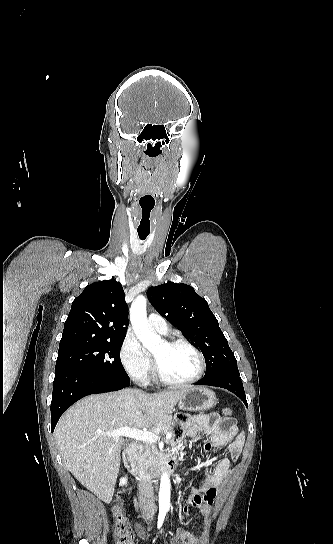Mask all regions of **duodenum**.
Here are the masks:
<instances>
[{
  "instance_id": "410a0bca",
  "label": "duodenum",
  "mask_w": 333,
  "mask_h": 544,
  "mask_svg": "<svg viewBox=\"0 0 333 544\" xmlns=\"http://www.w3.org/2000/svg\"><path fill=\"white\" fill-rule=\"evenodd\" d=\"M139 445L137 443L130 444L124 452V462L128 471L141 482H148L154 478L173 472L177 467L176 456L170 454L166 456L161 463L153 468L143 466L138 458Z\"/></svg>"
}]
</instances>
